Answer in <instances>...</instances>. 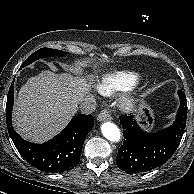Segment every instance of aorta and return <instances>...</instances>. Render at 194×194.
I'll list each match as a JSON object with an SVG mask.
<instances>
[{"label": "aorta", "instance_id": "762f6f07", "mask_svg": "<svg viewBox=\"0 0 194 194\" xmlns=\"http://www.w3.org/2000/svg\"><path fill=\"white\" fill-rule=\"evenodd\" d=\"M101 131L103 136L112 142H118L121 138L119 128L111 122L103 123L101 126Z\"/></svg>", "mask_w": 194, "mask_h": 194}]
</instances>
